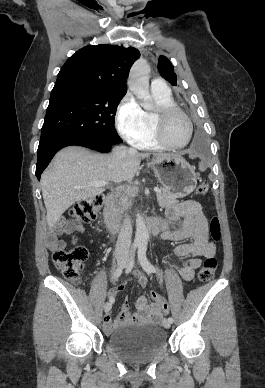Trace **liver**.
<instances>
[{"mask_svg":"<svg viewBox=\"0 0 265 388\" xmlns=\"http://www.w3.org/2000/svg\"><path fill=\"white\" fill-rule=\"evenodd\" d=\"M112 154H93L81 146H68L56 154L52 164L41 176L42 196L47 210L46 220L49 230H53L65 210L70 206L100 196L105 186L95 188L88 182H125L133 180L141 160L150 154H139L127 150L125 158ZM159 156H181V154H154Z\"/></svg>","mask_w":265,"mask_h":388,"instance_id":"obj_1","label":"liver"}]
</instances>
